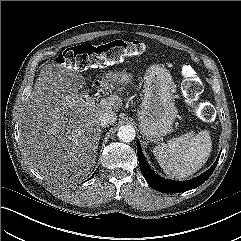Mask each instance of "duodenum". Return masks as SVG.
Masks as SVG:
<instances>
[{"instance_id":"410a0bca","label":"duodenum","mask_w":241,"mask_h":241,"mask_svg":"<svg viewBox=\"0 0 241 241\" xmlns=\"http://www.w3.org/2000/svg\"><path fill=\"white\" fill-rule=\"evenodd\" d=\"M96 85H97V86H100V82H99V81H97V82H96Z\"/></svg>"}]
</instances>
